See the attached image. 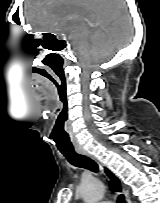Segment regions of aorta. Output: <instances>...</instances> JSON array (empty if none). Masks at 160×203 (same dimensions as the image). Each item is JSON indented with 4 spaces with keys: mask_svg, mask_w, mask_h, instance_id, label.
I'll return each instance as SVG.
<instances>
[{
    "mask_svg": "<svg viewBox=\"0 0 160 203\" xmlns=\"http://www.w3.org/2000/svg\"><path fill=\"white\" fill-rule=\"evenodd\" d=\"M104 185L97 179L84 181L80 187V193L85 203H99L104 195Z\"/></svg>",
    "mask_w": 160,
    "mask_h": 203,
    "instance_id": "obj_1",
    "label": "aorta"
}]
</instances>
